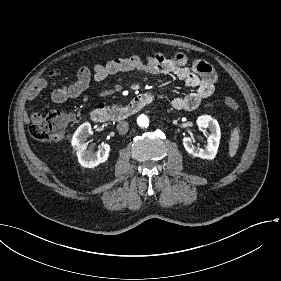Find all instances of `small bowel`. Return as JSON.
Listing matches in <instances>:
<instances>
[{"label": "small bowel", "instance_id": "1", "mask_svg": "<svg viewBox=\"0 0 281 281\" xmlns=\"http://www.w3.org/2000/svg\"><path fill=\"white\" fill-rule=\"evenodd\" d=\"M133 70L149 74H172L193 88L192 92L172 99L171 106L178 111L195 110L203 100L213 94L218 78L216 71L209 63L200 59H190L182 52L174 55L162 53L145 56L131 55L96 64L93 67V73L85 66L80 67L77 80L70 85H63L53 90L51 98L56 103L77 98L89 87L92 80L101 82L109 75ZM49 75L57 76L59 71H51ZM45 86L44 80L36 81L29 88L27 98L29 100L36 98ZM30 120L40 121L41 115L28 108L25 112V121Z\"/></svg>", "mask_w": 281, "mask_h": 281}]
</instances>
